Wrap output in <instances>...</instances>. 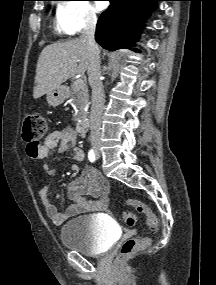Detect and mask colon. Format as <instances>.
<instances>
[{
	"mask_svg": "<svg viewBox=\"0 0 216 285\" xmlns=\"http://www.w3.org/2000/svg\"><path fill=\"white\" fill-rule=\"evenodd\" d=\"M48 131L47 119L40 114H29L25 117L22 126V137L27 145V152L31 157H37L42 148L41 140ZM125 206L133 208L138 213H141L146 218V223L151 230H155L158 225L157 216L143 202L136 199H127ZM124 223L132 227L137 221V216L131 211L123 212ZM149 240L147 238L128 239L126 240L119 251L118 259L123 260L134 252L147 246Z\"/></svg>",
	"mask_w": 216,
	"mask_h": 285,
	"instance_id": "colon-1",
	"label": "colon"
}]
</instances>
